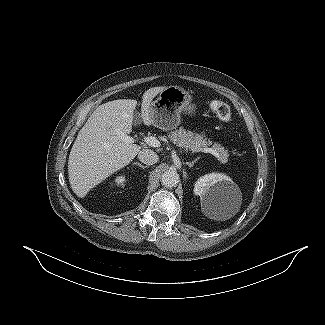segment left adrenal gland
Instances as JSON below:
<instances>
[{
  "instance_id": "1",
  "label": "left adrenal gland",
  "mask_w": 325,
  "mask_h": 325,
  "mask_svg": "<svg viewBox=\"0 0 325 325\" xmlns=\"http://www.w3.org/2000/svg\"><path fill=\"white\" fill-rule=\"evenodd\" d=\"M199 157L194 159L192 162H187L186 164L189 166V167H192L194 165V163H196V161H198Z\"/></svg>"
}]
</instances>
